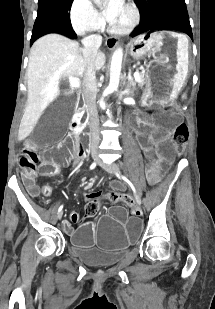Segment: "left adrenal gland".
Instances as JSON below:
<instances>
[{"mask_svg":"<svg viewBox=\"0 0 215 309\" xmlns=\"http://www.w3.org/2000/svg\"><path fill=\"white\" fill-rule=\"evenodd\" d=\"M128 82L129 84H132V82H134L133 78H130V76H128Z\"/></svg>","mask_w":215,"mask_h":309,"instance_id":"left-adrenal-gland-1","label":"left adrenal gland"}]
</instances>
